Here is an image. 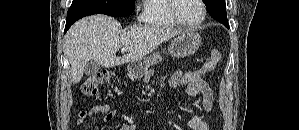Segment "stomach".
I'll return each mask as SVG.
<instances>
[{
    "instance_id": "0dacf381",
    "label": "stomach",
    "mask_w": 299,
    "mask_h": 130,
    "mask_svg": "<svg viewBox=\"0 0 299 130\" xmlns=\"http://www.w3.org/2000/svg\"><path fill=\"white\" fill-rule=\"evenodd\" d=\"M201 42L202 37L197 32L194 30H187L171 41L168 53L176 58L190 56L199 49ZM161 60V55L158 52H154L150 56L130 62L127 70L131 74L140 75L150 66L157 64Z\"/></svg>"
}]
</instances>
